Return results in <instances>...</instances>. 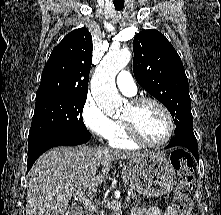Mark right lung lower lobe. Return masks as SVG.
<instances>
[{
  "mask_svg": "<svg viewBox=\"0 0 221 215\" xmlns=\"http://www.w3.org/2000/svg\"><path fill=\"white\" fill-rule=\"evenodd\" d=\"M90 138L91 134L86 133L70 138H50L28 146L27 170L29 171L37 158L48 149L60 145H80L89 141Z\"/></svg>",
  "mask_w": 221,
  "mask_h": 215,
  "instance_id": "98d812e1",
  "label": "right lung lower lobe"
}]
</instances>
